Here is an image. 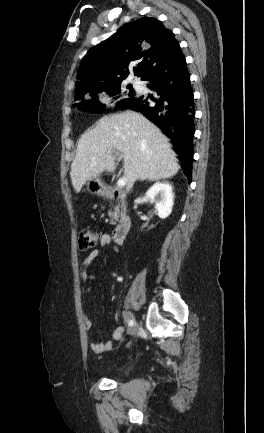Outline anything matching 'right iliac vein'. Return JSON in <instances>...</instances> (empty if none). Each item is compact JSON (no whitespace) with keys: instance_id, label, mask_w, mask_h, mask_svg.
Wrapping results in <instances>:
<instances>
[{"instance_id":"1","label":"right iliac vein","mask_w":264,"mask_h":433,"mask_svg":"<svg viewBox=\"0 0 264 433\" xmlns=\"http://www.w3.org/2000/svg\"><path fill=\"white\" fill-rule=\"evenodd\" d=\"M136 330H137V324L135 323V324L133 325V327L130 328L129 333H130L131 335H133V334H135Z\"/></svg>"}]
</instances>
